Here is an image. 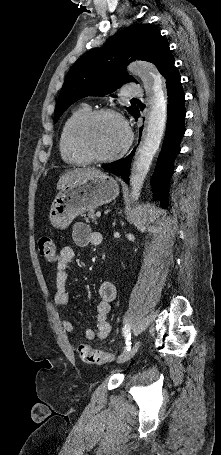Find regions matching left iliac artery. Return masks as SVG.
<instances>
[{
  "instance_id": "left-iliac-artery-1",
  "label": "left iliac artery",
  "mask_w": 221,
  "mask_h": 455,
  "mask_svg": "<svg viewBox=\"0 0 221 455\" xmlns=\"http://www.w3.org/2000/svg\"><path fill=\"white\" fill-rule=\"evenodd\" d=\"M123 333H124V337H125V340H126V350H130L131 348V333H130V325L129 324H126L123 328Z\"/></svg>"
}]
</instances>
